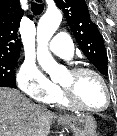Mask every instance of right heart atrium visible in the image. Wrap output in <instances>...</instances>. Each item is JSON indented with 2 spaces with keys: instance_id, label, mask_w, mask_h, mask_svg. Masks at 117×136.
<instances>
[{
  "instance_id": "right-heart-atrium-1",
  "label": "right heart atrium",
  "mask_w": 117,
  "mask_h": 136,
  "mask_svg": "<svg viewBox=\"0 0 117 136\" xmlns=\"http://www.w3.org/2000/svg\"><path fill=\"white\" fill-rule=\"evenodd\" d=\"M20 90L29 98L50 104L59 91L57 85L51 82L32 60H24L17 75Z\"/></svg>"
}]
</instances>
